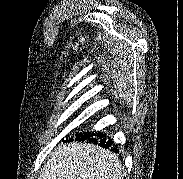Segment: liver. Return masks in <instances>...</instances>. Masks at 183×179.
Instances as JSON below:
<instances>
[{
	"label": "liver",
	"mask_w": 183,
	"mask_h": 179,
	"mask_svg": "<svg viewBox=\"0 0 183 179\" xmlns=\"http://www.w3.org/2000/svg\"><path fill=\"white\" fill-rule=\"evenodd\" d=\"M118 156L89 143L60 144L44 164L39 179H123Z\"/></svg>",
	"instance_id": "1"
}]
</instances>
